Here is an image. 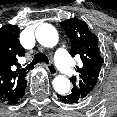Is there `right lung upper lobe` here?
<instances>
[{
  "mask_svg": "<svg viewBox=\"0 0 117 117\" xmlns=\"http://www.w3.org/2000/svg\"><path fill=\"white\" fill-rule=\"evenodd\" d=\"M19 28L15 25H4L0 28V100L8 102L15 97L25 84L26 69L20 68L18 58L24 56L21 46Z\"/></svg>",
  "mask_w": 117,
  "mask_h": 117,
  "instance_id": "right-lung-upper-lobe-1",
  "label": "right lung upper lobe"
}]
</instances>
